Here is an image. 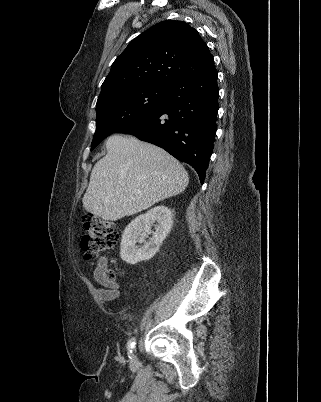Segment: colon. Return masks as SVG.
<instances>
[{
    "instance_id": "5ec220e1",
    "label": "colon",
    "mask_w": 321,
    "mask_h": 402,
    "mask_svg": "<svg viewBox=\"0 0 321 402\" xmlns=\"http://www.w3.org/2000/svg\"><path fill=\"white\" fill-rule=\"evenodd\" d=\"M83 226L87 234L81 239V249L87 259L114 248L119 240L117 227L114 222L103 220L92 215L83 218ZM108 280L116 278V272L106 270Z\"/></svg>"
}]
</instances>
